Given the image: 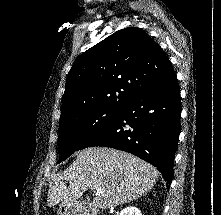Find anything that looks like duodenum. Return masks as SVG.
I'll list each match as a JSON object with an SVG mask.
<instances>
[{
    "instance_id": "1",
    "label": "duodenum",
    "mask_w": 221,
    "mask_h": 215,
    "mask_svg": "<svg viewBox=\"0 0 221 215\" xmlns=\"http://www.w3.org/2000/svg\"><path fill=\"white\" fill-rule=\"evenodd\" d=\"M78 215H96V213L93 210H90V211H87V212L80 213Z\"/></svg>"
}]
</instances>
